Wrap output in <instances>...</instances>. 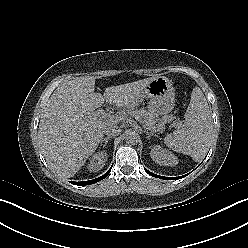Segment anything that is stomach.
I'll return each instance as SVG.
<instances>
[{"label": "stomach", "mask_w": 248, "mask_h": 248, "mask_svg": "<svg viewBox=\"0 0 248 248\" xmlns=\"http://www.w3.org/2000/svg\"><path fill=\"white\" fill-rule=\"evenodd\" d=\"M145 98L150 100L148 108L152 113L157 115L169 113L175 103V92L172 82L165 76H155L141 90L140 96L134 104L142 102Z\"/></svg>", "instance_id": "1"}]
</instances>
